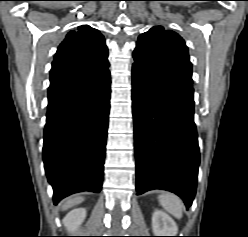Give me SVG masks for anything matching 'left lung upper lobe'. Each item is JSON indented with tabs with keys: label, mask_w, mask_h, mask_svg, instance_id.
<instances>
[{
	"label": "left lung upper lobe",
	"mask_w": 248,
	"mask_h": 237,
	"mask_svg": "<svg viewBox=\"0 0 248 237\" xmlns=\"http://www.w3.org/2000/svg\"><path fill=\"white\" fill-rule=\"evenodd\" d=\"M135 63L165 80L192 86V66L184 40L174 31L155 26L139 36Z\"/></svg>",
	"instance_id": "1"
}]
</instances>
